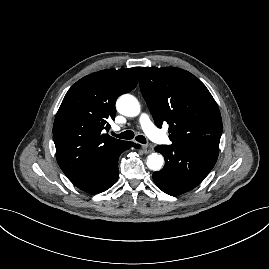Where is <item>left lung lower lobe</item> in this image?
I'll return each instance as SVG.
<instances>
[{"mask_svg": "<svg viewBox=\"0 0 269 269\" xmlns=\"http://www.w3.org/2000/svg\"><path fill=\"white\" fill-rule=\"evenodd\" d=\"M165 158V166L153 173L155 184L177 196L199 185L214 167L219 151L194 145H161L155 148Z\"/></svg>", "mask_w": 269, "mask_h": 269, "instance_id": "1", "label": "left lung lower lobe"}]
</instances>
